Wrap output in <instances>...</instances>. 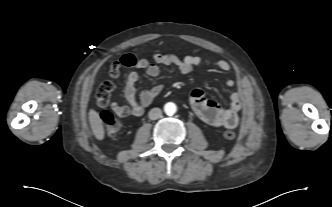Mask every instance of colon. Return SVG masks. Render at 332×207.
I'll list each match as a JSON object with an SVG mask.
<instances>
[{
    "label": "colon",
    "mask_w": 332,
    "mask_h": 207,
    "mask_svg": "<svg viewBox=\"0 0 332 207\" xmlns=\"http://www.w3.org/2000/svg\"><path fill=\"white\" fill-rule=\"evenodd\" d=\"M136 62V58L132 54H124L117 61L113 62L109 74L112 78H117L120 75L121 67L135 66ZM114 88L115 84L112 80L103 81L96 91L97 104L102 108H111L117 115L125 114L127 112L126 106L116 102H111L110 100V94ZM101 120L105 126L108 136L115 137L121 132L123 125L121 121L118 120L111 112H102ZM223 136L227 140H233L236 137L235 133L230 130L225 131Z\"/></svg>",
    "instance_id": "1"
}]
</instances>
